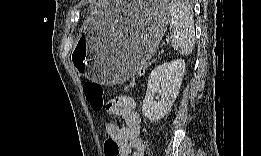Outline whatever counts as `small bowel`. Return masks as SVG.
I'll list each match as a JSON object with an SVG mask.
<instances>
[{
    "label": "small bowel",
    "mask_w": 261,
    "mask_h": 156,
    "mask_svg": "<svg viewBox=\"0 0 261 156\" xmlns=\"http://www.w3.org/2000/svg\"><path fill=\"white\" fill-rule=\"evenodd\" d=\"M106 111L112 118H121L125 125H120L113 120L107 122L106 133L115 140L121 150V156H142L145 143L141 139V120L136 112V103L130 96H116L108 101Z\"/></svg>",
    "instance_id": "c3829d8e"
}]
</instances>
